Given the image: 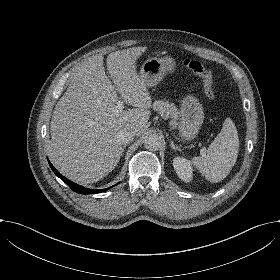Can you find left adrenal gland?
I'll return each instance as SVG.
<instances>
[{
	"mask_svg": "<svg viewBox=\"0 0 280 280\" xmlns=\"http://www.w3.org/2000/svg\"><path fill=\"white\" fill-rule=\"evenodd\" d=\"M170 140H171L170 146H171L173 149L177 148V149H180L181 151H183V148H182L180 145H178L177 143H174V140H173V139H170Z\"/></svg>",
	"mask_w": 280,
	"mask_h": 280,
	"instance_id": "1",
	"label": "left adrenal gland"
}]
</instances>
